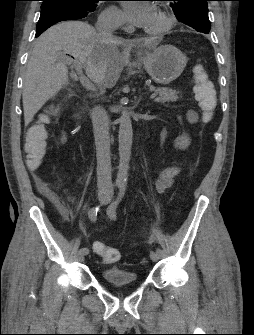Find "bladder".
Segmentation results:
<instances>
[{
  "instance_id": "1",
  "label": "bladder",
  "mask_w": 254,
  "mask_h": 335,
  "mask_svg": "<svg viewBox=\"0 0 254 335\" xmlns=\"http://www.w3.org/2000/svg\"><path fill=\"white\" fill-rule=\"evenodd\" d=\"M102 277L109 286L114 288L132 286L137 282V276L132 270L121 267L104 269Z\"/></svg>"
}]
</instances>
